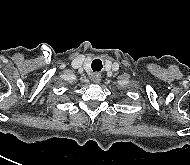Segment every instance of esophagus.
I'll return each mask as SVG.
<instances>
[{"mask_svg":"<svg viewBox=\"0 0 190 165\" xmlns=\"http://www.w3.org/2000/svg\"><path fill=\"white\" fill-rule=\"evenodd\" d=\"M92 81H93L94 83H99V82L101 81V74H99V73H94V74L92 75Z\"/></svg>","mask_w":190,"mask_h":165,"instance_id":"34e87169","label":"esophagus"}]
</instances>
